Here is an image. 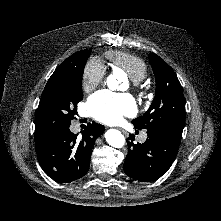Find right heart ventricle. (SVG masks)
<instances>
[{
    "instance_id": "right-heart-ventricle-1",
    "label": "right heart ventricle",
    "mask_w": 221,
    "mask_h": 221,
    "mask_svg": "<svg viewBox=\"0 0 221 221\" xmlns=\"http://www.w3.org/2000/svg\"><path fill=\"white\" fill-rule=\"evenodd\" d=\"M106 57L115 68L125 71L134 83L145 79L148 68L140 57L121 51L108 52Z\"/></svg>"
}]
</instances>
